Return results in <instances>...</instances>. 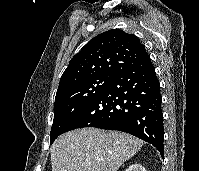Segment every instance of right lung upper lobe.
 <instances>
[{
    "mask_svg": "<svg viewBox=\"0 0 199 171\" xmlns=\"http://www.w3.org/2000/svg\"><path fill=\"white\" fill-rule=\"evenodd\" d=\"M149 58L139 39L120 29L92 38L70 61L61 76L55 98L96 76H116L124 69Z\"/></svg>",
    "mask_w": 199,
    "mask_h": 171,
    "instance_id": "cb5924a9",
    "label": "right lung upper lobe"
}]
</instances>
